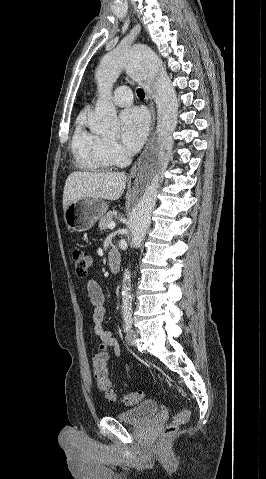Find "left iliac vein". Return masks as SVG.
Listing matches in <instances>:
<instances>
[{"mask_svg":"<svg viewBox=\"0 0 266 479\" xmlns=\"http://www.w3.org/2000/svg\"><path fill=\"white\" fill-rule=\"evenodd\" d=\"M138 332L134 329H130L126 334V342L129 346H133L137 338Z\"/></svg>","mask_w":266,"mask_h":479,"instance_id":"left-iliac-vein-1","label":"left iliac vein"}]
</instances>
